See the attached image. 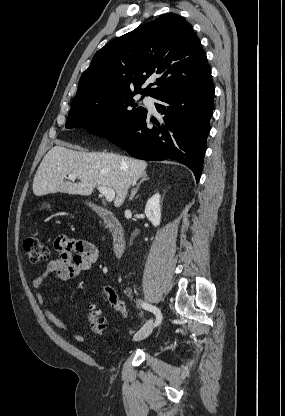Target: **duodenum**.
I'll return each mask as SVG.
<instances>
[{
	"instance_id": "obj_1",
	"label": "duodenum",
	"mask_w": 285,
	"mask_h": 416,
	"mask_svg": "<svg viewBox=\"0 0 285 416\" xmlns=\"http://www.w3.org/2000/svg\"><path fill=\"white\" fill-rule=\"evenodd\" d=\"M95 210L101 217L105 230L111 236L115 255L120 256L123 253L125 247V234L121 223L119 222L116 215H114L111 211L100 206H96Z\"/></svg>"
}]
</instances>
